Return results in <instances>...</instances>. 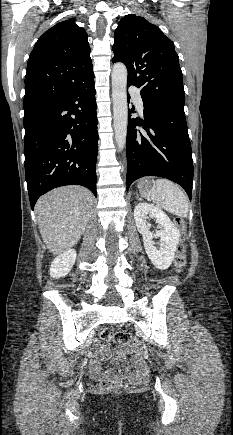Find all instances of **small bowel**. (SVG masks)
I'll return each mask as SVG.
<instances>
[{"mask_svg":"<svg viewBox=\"0 0 233 435\" xmlns=\"http://www.w3.org/2000/svg\"><path fill=\"white\" fill-rule=\"evenodd\" d=\"M98 349L99 356H103L105 354L103 346L99 345ZM113 354L116 358L124 356H130L132 358L134 368L126 369L128 373L132 374L133 371H135L138 374H144L146 372L147 367L145 366L141 358V354L137 349H131L127 346H119L114 350ZM108 372H110V370L103 369L98 361L93 362L90 366V373L95 379L103 377Z\"/></svg>","mask_w":233,"mask_h":435,"instance_id":"small-bowel-1","label":"small bowel"}]
</instances>
